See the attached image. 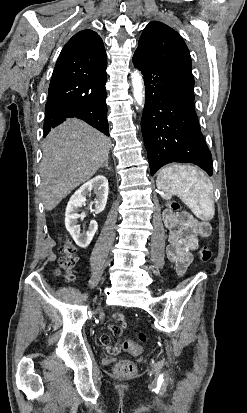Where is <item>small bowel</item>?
Instances as JSON below:
<instances>
[{"label": "small bowel", "mask_w": 247, "mask_h": 413, "mask_svg": "<svg viewBox=\"0 0 247 413\" xmlns=\"http://www.w3.org/2000/svg\"><path fill=\"white\" fill-rule=\"evenodd\" d=\"M164 223L169 230V243L167 246V255L169 260L174 264L176 273L179 277H183L194 261L193 251L197 249L202 238L210 235L211 228L207 221L191 219L185 223H178L177 215L171 211L164 212ZM116 314L117 322H107L105 328L107 331H116L117 337L123 336L124 317L126 315ZM120 323V324H119ZM100 347L108 349L110 355H120L122 352V343L118 342L117 346H112L110 336L101 334L99 336Z\"/></svg>", "instance_id": "c3829d8e"}]
</instances>
